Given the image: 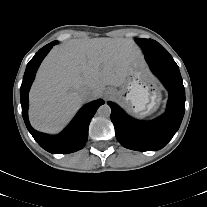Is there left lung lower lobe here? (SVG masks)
<instances>
[{
    "label": "left lung lower lobe",
    "mask_w": 207,
    "mask_h": 207,
    "mask_svg": "<svg viewBox=\"0 0 207 207\" xmlns=\"http://www.w3.org/2000/svg\"><path fill=\"white\" fill-rule=\"evenodd\" d=\"M145 59L169 92L165 113L151 121H140L128 116L117 104L107 103L121 145L136 151H156L163 148L179 129L185 111V90L179 67L169 53L145 54Z\"/></svg>",
    "instance_id": "obj_1"
}]
</instances>
